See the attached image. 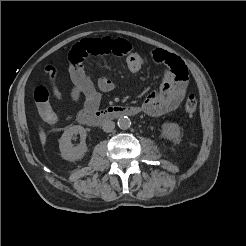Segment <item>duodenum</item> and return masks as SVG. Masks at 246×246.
<instances>
[{"mask_svg": "<svg viewBox=\"0 0 246 246\" xmlns=\"http://www.w3.org/2000/svg\"><path fill=\"white\" fill-rule=\"evenodd\" d=\"M140 112L139 107L130 105H115L98 111H81L77 119L86 126L97 127L103 122L123 116H135Z\"/></svg>", "mask_w": 246, "mask_h": 246, "instance_id": "410a0bca", "label": "duodenum"}]
</instances>
